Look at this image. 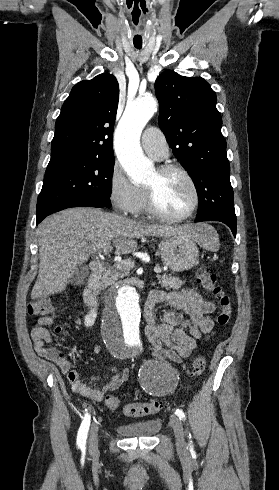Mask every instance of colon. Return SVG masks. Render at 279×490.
Returning <instances> with one entry per match:
<instances>
[{"label":"colon","instance_id":"colon-1","mask_svg":"<svg viewBox=\"0 0 279 490\" xmlns=\"http://www.w3.org/2000/svg\"><path fill=\"white\" fill-rule=\"evenodd\" d=\"M197 278L201 287L209 294L214 296L220 304L218 312V323L227 325L231 320L232 308L228 296L224 293L222 287L216 281L212 272L202 267L197 272ZM31 316L51 318L55 315V308L47 298L34 300L28 307ZM193 374L200 376L205 370L206 360L204 357H196L192 363ZM105 406L110 410H115L120 404L117 396L109 393L104 399ZM164 408V402L158 399L143 402H129L123 405L122 413L129 417L151 416L157 414Z\"/></svg>","mask_w":279,"mask_h":490}]
</instances>
